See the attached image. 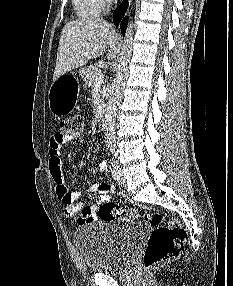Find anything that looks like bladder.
Here are the masks:
<instances>
[{
	"label": "bladder",
	"mask_w": 233,
	"mask_h": 286,
	"mask_svg": "<svg viewBox=\"0 0 233 286\" xmlns=\"http://www.w3.org/2000/svg\"><path fill=\"white\" fill-rule=\"evenodd\" d=\"M145 231L142 223L95 222L76 228L74 240L90 272L108 273L126 267Z\"/></svg>",
	"instance_id": "obj_1"
}]
</instances>
